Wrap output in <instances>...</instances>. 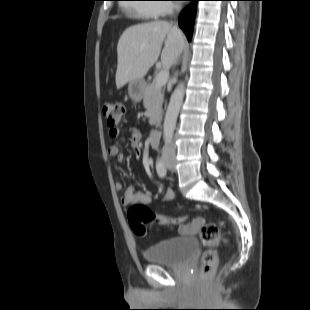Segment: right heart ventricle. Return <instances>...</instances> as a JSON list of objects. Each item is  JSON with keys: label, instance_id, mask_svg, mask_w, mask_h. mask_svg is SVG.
Wrapping results in <instances>:
<instances>
[{"label": "right heart ventricle", "instance_id": "right-heart-ventricle-1", "mask_svg": "<svg viewBox=\"0 0 310 310\" xmlns=\"http://www.w3.org/2000/svg\"><path fill=\"white\" fill-rule=\"evenodd\" d=\"M155 4H139L135 7V12L144 19H153L159 15L158 10L154 7Z\"/></svg>", "mask_w": 310, "mask_h": 310}]
</instances>
